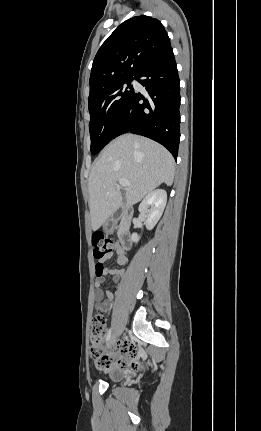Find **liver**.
<instances>
[{"mask_svg":"<svg viewBox=\"0 0 261 431\" xmlns=\"http://www.w3.org/2000/svg\"><path fill=\"white\" fill-rule=\"evenodd\" d=\"M175 162L162 145L142 136L125 134L111 141L96 159L89 176L92 230H98L120 207L119 179H127L126 198L138 203L160 184L171 186Z\"/></svg>","mask_w":261,"mask_h":431,"instance_id":"6515ba94","label":"liver"}]
</instances>
